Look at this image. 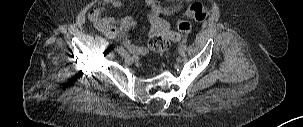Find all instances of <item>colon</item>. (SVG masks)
<instances>
[{"mask_svg": "<svg viewBox=\"0 0 303 127\" xmlns=\"http://www.w3.org/2000/svg\"><path fill=\"white\" fill-rule=\"evenodd\" d=\"M208 14L209 11L203 4H191L185 12V18L180 19L177 23V29L179 32H167L151 37L148 42L149 48L152 51L161 54L163 57H167L171 41L180 40L183 34L190 31L191 25L189 20L192 19L197 22H202L207 18Z\"/></svg>", "mask_w": 303, "mask_h": 127, "instance_id": "colon-1", "label": "colon"}]
</instances>
